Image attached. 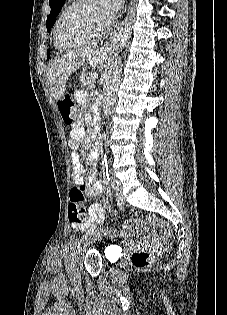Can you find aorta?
Listing matches in <instances>:
<instances>
[{
  "label": "aorta",
  "instance_id": "obj_1",
  "mask_svg": "<svg viewBox=\"0 0 227 315\" xmlns=\"http://www.w3.org/2000/svg\"><path fill=\"white\" fill-rule=\"evenodd\" d=\"M128 37L127 33L120 32L116 34L112 40V45L117 55L111 63L104 85L103 112L105 116H109L111 114L116 100V93L120 84L122 71V58L119 53L128 40Z\"/></svg>",
  "mask_w": 227,
  "mask_h": 315
}]
</instances>
